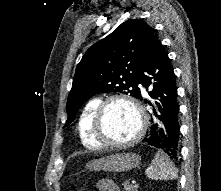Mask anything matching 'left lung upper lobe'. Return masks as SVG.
<instances>
[{"instance_id": "5c2ea615", "label": "left lung upper lobe", "mask_w": 221, "mask_h": 191, "mask_svg": "<svg viewBox=\"0 0 221 191\" xmlns=\"http://www.w3.org/2000/svg\"><path fill=\"white\" fill-rule=\"evenodd\" d=\"M155 38L153 28L141 19H132L92 45L76 67L66 104V126L96 94L120 92L139 98V73Z\"/></svg>"}]
</instances>
